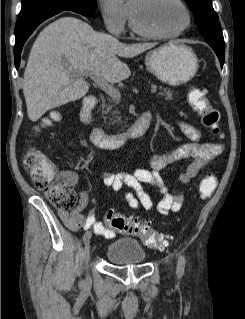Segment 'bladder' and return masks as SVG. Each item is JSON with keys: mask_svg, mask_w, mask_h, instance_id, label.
<instances>
[{"mask_svg": "<svg viewBox=\"0 0 245 319\" xmlns=\"http://www.w3.org/2000/svg\"><path fill=\"white\" fill-rule=\"evenodd\" d=\"M105 257L112 263L132 265L144 262L146 252L134 238H115L108 244Z\"/></svg>", "mask_w": 245, "mask_h": 319, "instance_id": "bladder-1", "label": "bladder"}]
</instances>
